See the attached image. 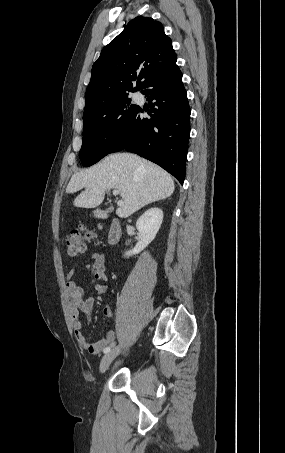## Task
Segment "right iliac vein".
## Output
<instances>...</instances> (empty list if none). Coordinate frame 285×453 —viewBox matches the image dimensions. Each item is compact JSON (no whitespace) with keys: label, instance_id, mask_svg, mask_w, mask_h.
Returning <instances> with one entry per match:
<instances>
[{"label":"right iliac vein","instance_id":"obj_1","mask_svg":"<svg viewBox=\"0 0 285 453\" xmlns=\"http://www.w3.org/2000/svg\"><path fill=\"white\" fill-rule=\"evenodd\" d=\"M122 347H123V344L115 347L114 349H112L111 351H109L107 354L104 355V357L102 358V360L100 362V367H99L100 373H104L109 368L112 361L121 352Z\"/></svg>","mask_w":285,"mask_h":453}]
</instances>
